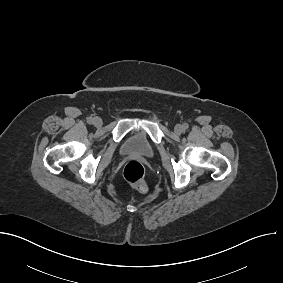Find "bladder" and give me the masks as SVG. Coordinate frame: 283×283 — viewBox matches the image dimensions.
I'll return each instance as SVG.
<instances>
[{"mask_svg":"<svg viewBox=\"0 0 283 283\" xmlns=\"http://www.w3.org/2000/svg\"><path fill=\"white\" fill-rule=\"evenodd\" d=\"M120 153L124 156L151 158L154 156L155 147L144 131L136 130L125 137L120 146Z\"/></svg>","mask_w":283,"mask_h":283,"instance_id":"bladder-1","label":"bladder"}]
</instances>
